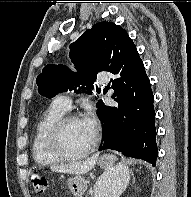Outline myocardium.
Returning a JSON list of instances; mask_svg holds the SVG:
<instances>
[{
    "instance_id": "myocardium-1",
    "label": "myocardium",
    "mask_w": 191,
    "mask_h": 197,
    "mask_svg": "<svg viewBox=\"0 0 191 197\" xmlns=\"http://www.w3.org/2000/svg\"><path fill=\"white\" fill-rule=\"evenodd\" d=\"M71 121H79L75 114H66L57 119L49 128L46 134V146L49 152L62 161H75L86 157L96 146V140L92 142L80 153L70 154L64 150L61 144V133L64 126Z\"/></svg>"
}]
</instances>
